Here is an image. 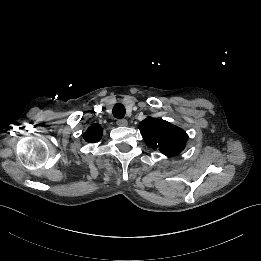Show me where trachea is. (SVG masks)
<instances>
[{
    "instance_id": "obj_1",
    "label": "trachea",
    "mask_w": 261,
    "mask_h": 261,
    "mask_svg": "<svg viewBox=\"0 0 261 261\" xmlns=\"http://www.w3.org/2000/svg\"><path fill=\"white\" fill-rule=\"evenodd\" d=\"M126 109L123 104L117 103L113 107V116L117 119H122L125 116Z\"/></svg>"
}]
</instances>
